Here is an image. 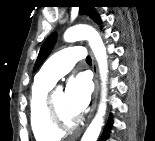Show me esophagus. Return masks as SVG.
<instances>
[{
  "label": "esophagus",
  "mask_w": 155,
  "mask_h": 141,
  "mask_svg": "<svg viewBox=\"0 0 155 141\" xmlns=\"http://www.w3.org/2000/svg\"><path fill=\"white\" fill-rule=\"evenodd\" d=\"M90 54H91V58H92V70H93V73H94L95 89H94V93H93L92 107H91V113H90V116H89V120L92 118L93 113L95 111V108H96V105H97L98 92H99L98 69H97V65H96L94 55L92 54L91 51H90Z\"/></svg>",
  "instance_id": "1"
}]
</instances>
